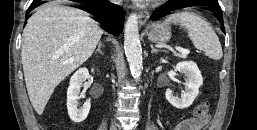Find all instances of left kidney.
Instances as JSON below:
<instances>
[{
    "mask_svg": "<svg viewBox=\"0 0 257 130\" xmlns=\"http://www.w3.org/2000/svg\"><path fill=\"white\" fill-rule=\"evenodd\" d=\"M176 70L185 75V91L181 98L174 96L172 90L167 89L165 96L168 102L178 109L189 107L199 93V87L203 84V78L197 65L193 61L179 62Z\"/></svg>",
    "mask_w": 257,
    "mask_h": 130,
    "instance_id": "obj_1",
    "label": "left kidney"
}]
</instances>
